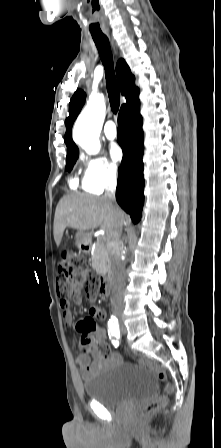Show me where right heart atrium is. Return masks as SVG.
I'll return each instance as SVG.
<instances>
[{"mask_svg":"<svg viewBox=\"0 0 221 448\" xmlns=\"http://www.w3.org/2000/svg\"><path fill=\"white\" fill-rule=\"evenodd\" d=\"M84 172L82 187L91 193H100L114 185L118 180L117 166L103 156H86L83 158Z\"/></svg>","mask_w":221,"mask_h":448,"instance_id":"obj_1","label":"right heart atrium"}]
</instances>
